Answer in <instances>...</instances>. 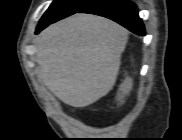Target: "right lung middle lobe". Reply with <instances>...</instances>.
Listing matches in <instances>:
<instances>
[{
  "label": "right lung middle lobe",
  "mask_w": 182,
  "mask_h": 140,
  "mask_svg": "<svg viewBox=\"0 0 182 140\" xmlns=\"http://www.w3.org/2000/svg\"><path fill=\"white\" fill-rule=\"evenodd\" d=\"M92 1L93 0H54L42 16L37 29L47 27L49 24L76 13Z\"/></svg>",
  "instance_id": "1"
}]
</instances>
